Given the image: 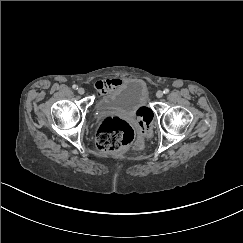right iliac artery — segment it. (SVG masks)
<instances>
[{
    "label": "right iliac artery",
    "instance_id": "obj_1",
    "mask_svg": "<svg viewBox=\"0 0 243 243\" xmlns=\"http://www.w3.org/2000/svg\"><path fill=\"white\" fill-rule=\"evenodd\" d=\"M72 87H73V89H78V86L75 84Z\"/></svg>",
    "mask_w": 243,
    "mask_h": 243
}]
</instances>
